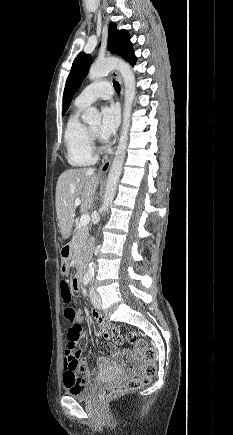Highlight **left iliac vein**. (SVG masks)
<instances>
[{"label": "left iliac vein", "instance_id": "left-iliac-vein-1", "mask_svg": "<svg viewBox=\"0 0 233 435\" xmlns=\"http://www.w3.org/2000/svg\"><path fill=\"white\" fill-rule=\"evenodd\" d=\"M90 299L95 308L97 309L101 308L102 306L101 297L93 287L90 288Z\"/></svg>", "mask_w": 233, "mask_h": 435}]
</instances>
